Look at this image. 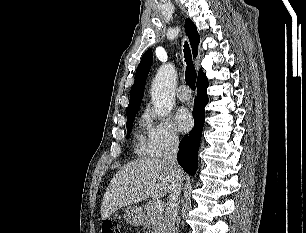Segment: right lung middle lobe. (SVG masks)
I'll return each instance as SVG.
<instances>
[{
    "mask_svg": "<svg viewBox=\"0 0 306 233\" xmlns=\"http://www.w3.org/2000/svg\"><path fill=\"white\" fill-rule=\"evenodd\" d=\"M135 115H136V113H132V114L127 116V137H129V135L132 131V125H133V121L135 119Z\"/></svg>",
    "mask_w": 306,
    "mask_h": 233,
    "instance_id": "1",
    "label": "right lung middle lobe"
}]
</instances>
